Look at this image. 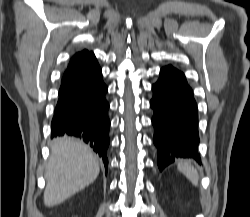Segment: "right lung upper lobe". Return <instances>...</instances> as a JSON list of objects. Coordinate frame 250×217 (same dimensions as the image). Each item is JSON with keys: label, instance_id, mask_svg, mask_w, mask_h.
Instances as JSON below:
<instances>
[{"label": "right lung upper lobe", "instance_id": "1", "mask_svg": "<svg viewBox=\"0 0 250 217\" xmlns=\"http://www.w3.org/2000/svg\"><path fill=\"white\" fill-rule=\"evenodd\" d=\"M92 55H93V53L92 52H88L87 50H84L82 52L76 53L72 57L69 65H68L67 70L70 69V68H72V67H74V66H76V65H78V64H80L81 62H83L85 59H87L88 57H90Z\"/></svg>", "mask_w": 250, "mask_h": 217}]
</instances>
